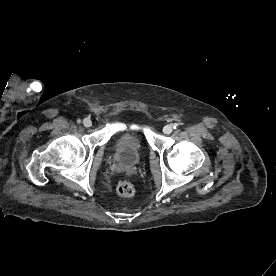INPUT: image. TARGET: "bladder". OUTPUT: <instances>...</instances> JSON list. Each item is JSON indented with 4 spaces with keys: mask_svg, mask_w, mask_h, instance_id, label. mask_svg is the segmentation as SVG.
<instances>
[{
    "mask_svg": "<svg viewBox=\"0 0 276 276\" xmlns=\"http://www.w3.org/2000/svg\"><path fill=\"white\" fill-rule=\"evenodd\" d=\"M143 151V138L136 131L123 132L113 143L116 161L127 167L136 165L140 161Z\"/></svg>",
    "mask_w": 276,
    "mask_h": 276,
    "instance_id": "31cf9c89",
    "label": "bladder"
}]
</instances>
